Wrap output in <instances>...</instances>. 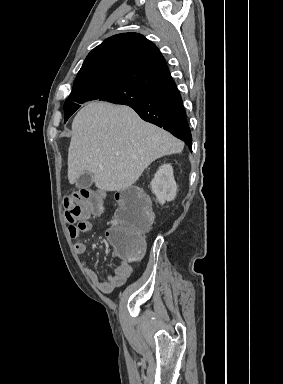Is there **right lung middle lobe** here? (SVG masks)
<instances>
[{
    "label": "right lung middle lobe",
    "instance_id": "obj_1",
    "mask_svg": "<svg viewBox=\"0 0 283 384\" xmlns=\"http://www.w3.org/2000/svg\"><path fill=\"white\" fill-rule=\"evenodd\" d=\"M151 91L125 83H102L72 89L64 104L66 122L83 104L91 100H102L115 104L139 103L146 100Z\"/></svg>",
    "mask_w": 283,
    "mask_h": 384
}]
</instances>
